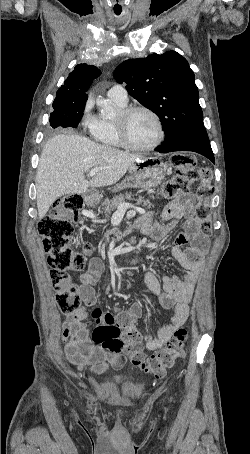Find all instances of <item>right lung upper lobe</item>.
I'll return each instance as SVG.
<instances>
[{"instance_id": "1", "label": "right lung upper lobe", "mask_w": 250, "mask_h": 454, "mask_svg": "<svg viewBox=\"0 0 250 454\" xmlns=\"http://www.w3.org/2000/svg\"><path fill=\"white\" fill-rule=\"evenodd\" d=\"M101 71L87 64H79L65 80L64 85L56 93L55 100L65 102H84L87 100V94L93 79L97 78Z\"/></svg>"}]
</instances>
